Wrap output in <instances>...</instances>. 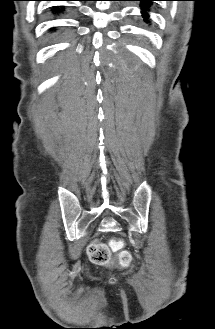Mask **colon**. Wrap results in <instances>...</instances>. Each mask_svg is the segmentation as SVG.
Returning a JSON list of instances; mask_svg holds the SVG:
<instances>
[{"label": "colon", "instance_id": "colon-1", "mask_svg": "<svg viewBox=\"0 0 215 329\" xmlns=\"http://www.w3.org/2000/svg\"><path fill=\"white\" fill-rule=\"evenodd\" d=\"M112 251L118 252V260L121 264H128L131 261L130 253L124 249L121 240H113L109 244L91 243L87 248L88 256L96 265L109 264Z\"/></svg>", "mask_w": 215, "mask_h": 329}]
</instances>
